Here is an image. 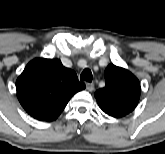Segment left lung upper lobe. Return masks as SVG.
Here are the masks:
<instances>
[{
	"label": "left lung upper lobe",
	"mask_w": 165,
	"mask_h": 154,
	"mask_svg": "<svg viewBox=\"0 0 165 154\" xmlns=\"http://www.w3.org/2000/svg\"><path fill=\"white\" fill-rule=\"evenodd\" d=\"M105 87L95 92L100 108L112 117H123L137 106L139 80L128 70L109 64L105 70Z\"/></svg>",
	"instance_id": "left-lung-upper-lobe-1"
}]
</instances>
